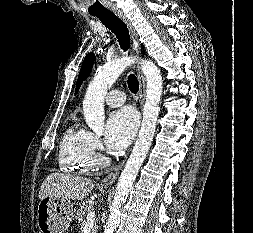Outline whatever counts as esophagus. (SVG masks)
I'll list each match as a JSON object with an SVG mask.
<instances>
[{
  "label": "esophagus",
  "instance_id": "34e87169",
  "mask_svg": "<svg viewBox=\"0 0 253 233\" xmlns=\"http://www.w3.org/2000/svg\"><path fill=\"white\" fill-rule=\"evenodd\" d=\"M127 26L131 37H132V46L133 49L135 50L136 54L139 55L140 50H139V40H138V34L136 30L134 29L133 25L131 24V21L125 16V14L121 11H115L114 12ZM137 70V77L139 81V92H138V105L140 109L143 108L144 102H145V96H146V81L144 74L141 70V67L139 63L136 66ZM125 160L120 162L101 182L103 186H111L116 179L118 178L123 165H124Z\"/></svg>",
  "mask_w": 253,
  "mask_h": 233
}]
</instances>
